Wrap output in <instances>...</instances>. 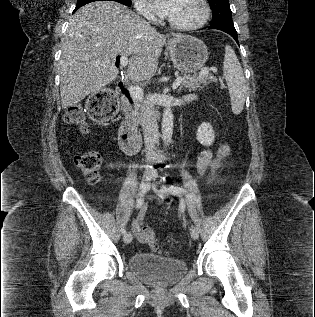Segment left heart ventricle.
Returning a JSON list of instances; mask_svg holds the SVG:
<instances>
[{
  "mask_svg": "<svg viewBox=\"0 0 315 317\" xmlns=\"http://www.w3.org/2000/svg\"><path fill=\"white\" fill-rule=\"evenodd\" d=\"M202 13L203 9L199 0H178L169 18L180 24H189L198 21Z\"/></svg>",
  "mask_w": 315,
  "mask_h": 317,
  "instance_id": "1",
  "label": "left heart ventricle"
}]
</instances>
